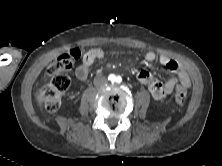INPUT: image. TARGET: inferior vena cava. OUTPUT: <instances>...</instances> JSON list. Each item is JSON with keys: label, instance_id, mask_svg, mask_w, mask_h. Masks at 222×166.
Masks as SVG:
<instances>
[{"label": "inferior vena cava", "instance_id": "obj_1", "mask_svg": "<svg viewBox=\"0 0 222 166\" xmlns=\"http://www.w3.org/2000/svg\"><path fill=\"white\" fill-rule=\"evenodd\" d=\"M107 78L105 77V76H103V75H98V76H96L95 77V79H94V84L96 85V86H100V85H102V84H104V83H107Z\"/></svg>", "mask_w": 222, "mask_h": 166}]
</instances>
